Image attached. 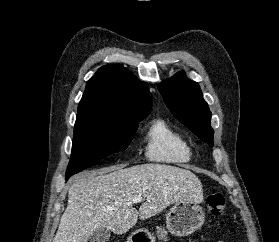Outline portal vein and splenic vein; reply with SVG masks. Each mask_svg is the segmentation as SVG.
I'll use <instances>...</instances> for the list:
<instances>
[{
  "label": "portal vein and splenic vein",
  "instance_id": "portal-vein-and-splenic-vein-1",
  "mask_svg": "<svg viewBox=\"0 0 279 242\" xmlns=\"http://www.w3.org/2000/svg\"><path fill=\"white\" fill-rule=\"evenodd\" d=\"M142 200H143V197L140 196V195H136V196L133 197V202L134 203H138V202H140Z\"/></svg>",
  "mask_w": 279,
  "mask_h": 242
}]
</instances>
